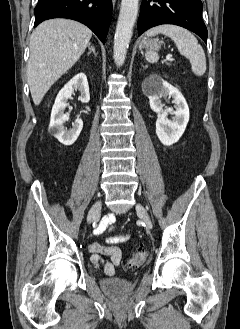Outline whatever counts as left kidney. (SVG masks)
Instances as JSON below:
<instances>
[{
	"label": "left kidney",
	"instance_id": "5707ae66",
	"mask_svg": "<svg viewBox=\"0 0 240 329\" xmlns=\"http://www.w3.org/2000/svg\"><path fill=\"white\" fill-rule=\"evenodd\" d=\"M142 89L149 98L151 109L158 115L156 120L157 137L163 145H173L183 135L189 121V107L185 98L178 89L157 74L148 76L142 84ZM167 96L174 99L175 110L163 109L161 99ZM168 114H173L174 117L168 119Z\"/></svg>",
	"mask_w": 240,
	"mask_h": 329
}]
</instances>
